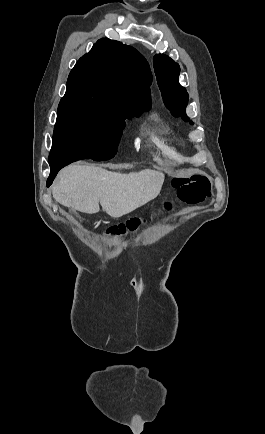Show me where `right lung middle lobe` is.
<instances>
[{"label": "right lung middle lobe", "mask_w": 265, "mask_h": 434, "mask_svg": "<svg viewBox=\"0 0 265 434\" xmlns=\"http://www.w3.org/2000/svg\"><path fill=\"white\" fill-rule=\"evenodd\" d=\"M148 109L114 99L94 87H67L58 106L50 166L114 157L125 120L138 117Z\"/></svg>", "instance_id": "right-lung-middle-lobe-1"}]
</instances>
